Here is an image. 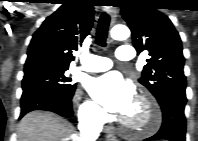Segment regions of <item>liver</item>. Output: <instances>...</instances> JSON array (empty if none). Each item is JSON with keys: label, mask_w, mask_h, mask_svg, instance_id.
<instances>
[{"label": "liver", "mask_w": 198, "mask_h": 141, "mask_svg": "<svg viewBox=\"0 0 198 141\" xmlns=\"http://www.w3.org/2000/svg\"><path fill=\"white\" fill-rule=\"evenodd\" d=\"M73 126L62 117L43 111L26 114L18 125V141H76Z\"/></svg>", "instance_id": "obj_1"}]
</instances>
